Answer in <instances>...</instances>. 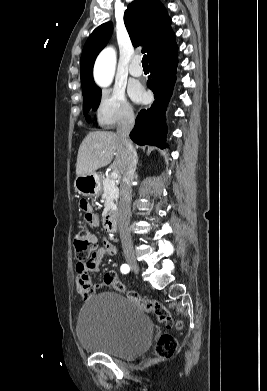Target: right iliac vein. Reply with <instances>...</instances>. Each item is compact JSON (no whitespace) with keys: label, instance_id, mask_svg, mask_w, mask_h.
<instances>
[{"label":"right iliac vein","instance_id":"obj_1","mask_svg":"<svg viewBox=\"0 0 267 391\" xmlns=\"http://www.w3.org/2000/svg\"><path fill=\"white\" fill-rule=\"evenodd\" d=\"M126 260H127L129 267L131 268V270L133 272H135L136 274H138L140 271V268H139V265H138V262H137L135 256L132 254H129L126 256Z\"/></svg>","mask_w":267,"mask_h":391}]
</instances>
